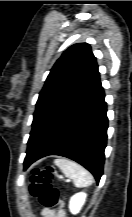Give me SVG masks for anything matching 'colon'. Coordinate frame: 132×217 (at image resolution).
I'll return each instance as SVG.
<instances>
[{"label": "colon", "mask_w": 132, "mask_h": 217, "mask_svg": "<svg viewBox=\"0 0 132 217\" xmlns=\"http://www.w3.org/2000/svg\"><path fill=\"white\" fill-rule=\"evenodd\" d=\"M54 176L55 170L51 166L34 169L31 176L30 191L42 207L62 211L59 190L52 184Z\"/></svg>", "instance_id": "obj_1"}]
</instances>
